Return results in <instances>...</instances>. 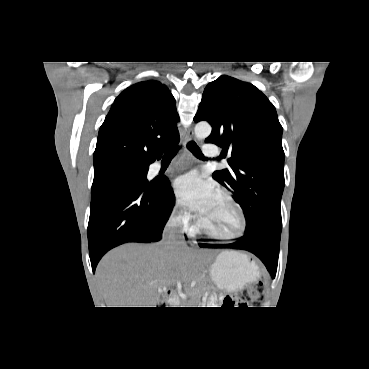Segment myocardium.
<instances>
[{
  "mask_svg": "<svg viewBox=\"0 0 369 369\" xmlns=\"http://www.w3.org/2000/svg\"><path fill=\"white\" fill-rule=\"evenodd\" d=\"M220 197L225 199L237 212L239 217V228L235 234L232 235H220L217 234L207 227L204 226L201 219L197 222V228L200 232L207 235L210 238L221 240V241H234L237 239L242 238L245 235L246 229H247V219L244 210L239 205V203L226 191H218L217 193Z\"/></svg>",
  "mask_w": 369,
  "mask_h": 369,
  "instance_id": "obj_1",
  "label": "myocardium"
}]
</instances>
